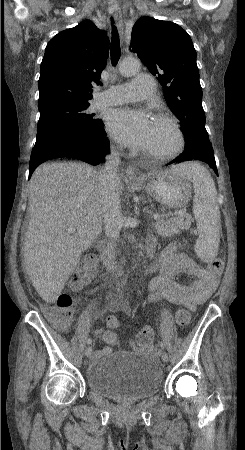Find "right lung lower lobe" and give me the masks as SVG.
Here are the masks:
<instances>
[{
  "label": "right lung lower lobe",
  "mask_w": 245,
  "mask_h": 450,
  "mask_svg": "<svg viewBox=\"0 0 245 450\" xmlns=\"http://www.w3.org/2000/svg\"><path fill=\"white\" fill-rule=\"evenodd\" d=\"M108 153L109 141L101 124L93 139L67 141L42 151H32L29 164V178L38 165L53 158H75L97 165L104 161Z\"/></svg>",
  "instance_id": "98d812e1"
}]
</instances>
